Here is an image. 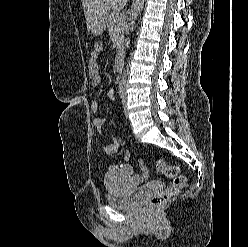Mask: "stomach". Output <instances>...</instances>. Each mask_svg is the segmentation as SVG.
Segmentation results:
<instances>
[{"instance_id":"obj_1","label":"stomach","mask_w":248,"mask_h":247,"mask_svg":"<svg viewBox=\"0 0 248 247\" xmlns=\"http://www.w3.org/2000/svg\"><path fill=\"white\" fill-rule=\"evenodd\" d=\"M106 14L103 15L91 28V32L93 35H100L104 32L107 24Z\"/></svg>"}]
</instances>
